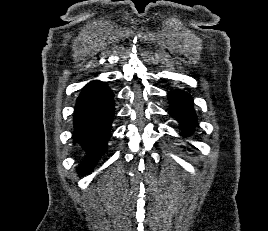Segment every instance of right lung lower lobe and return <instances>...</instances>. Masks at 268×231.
I'll use <instances>...</instances> for the list:
<instances>
[{
	"mask_svg": "<svg viewBox=\"0 0 268 231\" xmlns=\"http://www.w3.org/2000/svg\"><path fill=\"white\" fill-rule=\"evenodd\" d=\"M114 94L105 82L92 81L79 94L74 111L73 142L81 146V172L92 171L105 152L114 117Z\"/></svg>",
	"mask_w": 268,
	"mask_h": 231,
	"instance_id": "1",
	"label": "right lung lower lobe"
}]
</instances>
